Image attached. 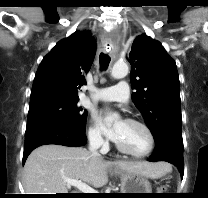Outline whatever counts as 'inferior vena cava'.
Segmentation results:
<instances>
[{"mask_svg": "<svg viewBox=\"0 0 208 198\" xmlns=\"http://www.w3.org/2000/svg\"><path fill=\"white\" fill-rule=\"evenodd\" d=\"M99 146H100V140L98 138H93V139L90 140L89 151L93 155H99L98 151H97Z\"/></svg>", "mask_w": 208, "mask_h": 198, "instance_id": "602c4592", "label": "inferior vena cava"}]
</instances>
